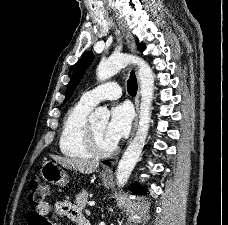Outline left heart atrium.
Returning <instances> with one entry per match:
<instances>
[{
    "label": "left heart atrium",
    "instance_id": "obj_1",
    "mask_svg": "<svg viewBox=\"0 0 228 225\" xmlns=\"http://www.w3.org/2000/svg\"><path fill=\"white\" fill-rule=\"evenodd\" d=\"M133 113L126 103L114 106L106 128V136L112 142H117L126 137L131 129Z\"/></svg>",
    "mask_w": 228,
    "mask_h": 225
}]
</instances>
